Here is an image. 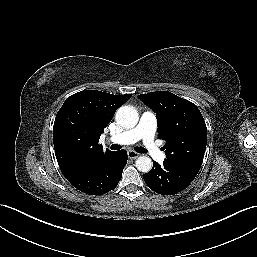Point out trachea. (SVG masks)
<instances>
[{"instance_id":"obj_1","label":"trachea","mask_w":257,"mask_h":257,"mask_svg":"<svg viewBox=\"0 0 257 257\" xmlns=\"http://www.w3.org/2000/svg\"><path fill=\"white\" fill-rule=\"evenodd\" d=\"M110 149L111 150H119V149H121V146L118 145V144H112L110 146ZM135 151L138 152V153H146L147 152V150L145 148H143V147H136Z\"/></svg>"}]
</instances>
